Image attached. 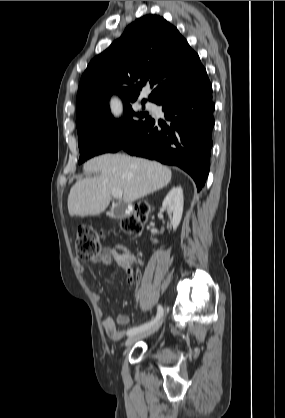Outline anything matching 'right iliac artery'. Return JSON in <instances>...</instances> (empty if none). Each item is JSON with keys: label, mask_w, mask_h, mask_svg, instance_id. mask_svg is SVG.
<instances>
[{"label": "right iliac artery", "mask_w": 285, "mask_h": 418, "mask_svg": "<svg viewBox=\"0 0 285 418\" xmlns=\"http://www.w3.org/2000/svg\"><path fill=\"white\" fill-rule=\"evenodd\" d=\"M163 308H162V306L161 305H158L157 306V315H156V317L154 318V319H152L150 322H148V323H145V324H142V325H140V326H136V327H132V328H130L128 331H127V335L128 336H130V335H132V334H134V333H137V332H141V331H144V330H147L148 328H150L151 326H153L161 317H162V315H163Z\"/></svg>", "instance_id": "1"}]
</instances>
